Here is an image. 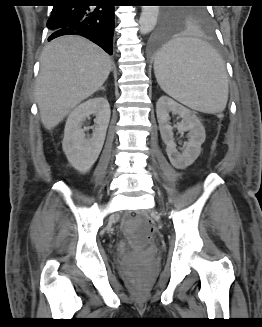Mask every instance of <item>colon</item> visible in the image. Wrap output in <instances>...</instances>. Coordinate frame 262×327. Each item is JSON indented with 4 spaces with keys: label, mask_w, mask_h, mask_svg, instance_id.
Listing matches in <instances>:
<instances>
[{
    "label": "colon",
    "mask_w": 262,
    "mask_h": 327,
    "mask_svg": "<svg viewBox=\"0 0 262 327\" xmlns=\"http://www.w3.org/2000/svg\"><path fill=\"white\" fill-rule=\"evenodd\" d=\"M124 229L136 244H144L152 238L153 226L149 218L142 214H130L124 223Z\"/></svg>",
    "instance_id": "colon-1"
}]
</instances>
